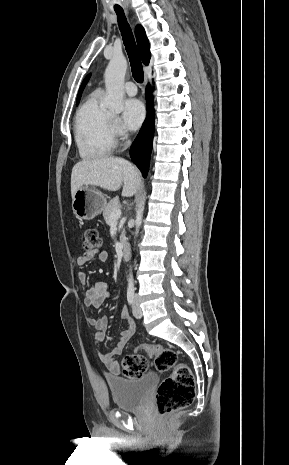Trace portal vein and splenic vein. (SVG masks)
Masks as SVG:
<instances>
[{"instance_id":"portal-vein-and-splenic-vein-1","label":"portal vein and splenic vein","mask_w":289,"mask_h":465,"mask_svg":"<svg viewBox=\"0 0 289 465\" xmlns=\"http://www.w3.org/2000/svg\"><path fill=\"white\" fill-rule=\"evenodd\" d=\"M121 213H122V212H121L120 209L114 211V212L112 213V215H111V220H112L111 222L117 221V220L120 218Z\"/></svg>"}]
</instances>
